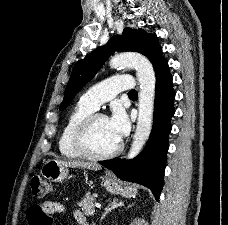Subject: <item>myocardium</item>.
<instances>
[{
  "mask_svg": "<svg viewBox=\"0 0 228 225\" xmlns=\"http://www.w3.org/2000/svg\"><path fill=\"white\" fill-rule=\"evenodd\" d=\"M98 117L106 118L102 114L93 112L79 123L73 135V144L79 152L87 157L96 159L109 158L118 154L122 150L123 144L119 142L114 148L107 151H99L92 145L91 129Z\"/></svg>",
  "mask_w": 228,
  "mask_h": 225,
  "instance_id": "1",
  "label": "myocardium"
}]
</instances>
